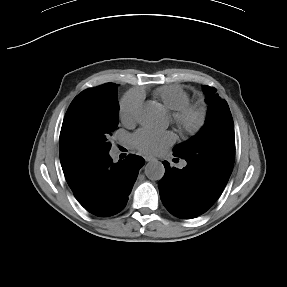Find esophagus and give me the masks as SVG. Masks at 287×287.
I'll use <instances>...</instances> for the list:
<instances>
[{
  "instance_id": "obj_1",
  "label": "esophagus",
  "mask_w": 287,
  "mask_h": 287,
  "mask_svg": "<svg viewBox=\"0 0 287 287\" xmlns=\"http://www.w3.org/2000/svg\"><path fill=\"white\" fill-rule=\"evenodd\" d=\"M150 160H151V158L145 157V161H146V162H149Z\"/></svg>"
}]
</instances>
